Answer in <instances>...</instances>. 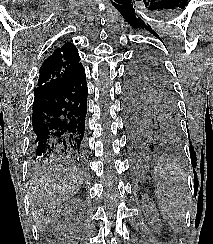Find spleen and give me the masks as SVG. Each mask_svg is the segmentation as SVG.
<instances>
[{
  "label": "spleen",
  "mask_w": 213,
  "mask_h": 244,
  "mask_svg": "<svg viewBox=\"0 0 213 244\" xmlns=\"http://www.w3.org/2000/svg\"><path fill=\"white\" fill-rule=\"evenodd\" d=\"M154 180L161 215L172 227L177 226L185 216L187 177L178 166L161 161L155 169Z\"/></svg>",
  "instance_id": "obj_1"
}]
</instances>
